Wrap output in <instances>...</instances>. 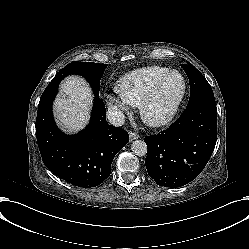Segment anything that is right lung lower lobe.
I'll use <instances>...</instances> for the list:
<instances>
[{"label":"right lung lower lobe","instance_id":"right-lung-lower-lobe-1","mask_svg":"<svg viewBox=\"0 0 249 249\" xmlns=\"http://www.w3.org/2000/svg\"><path fill=\"white\" fill-rule=\"evenodd\" d=\"M59 82L55 76L38 105L36 137L42 160L59 178L79 187H95L109 177L114 156L128 143L129 135L108 125L99 96H95L91 121L83 131L73 136L60 132L52 115Z\"/></svg>","mask_w":249,"mask_h":249}]
</instances>
